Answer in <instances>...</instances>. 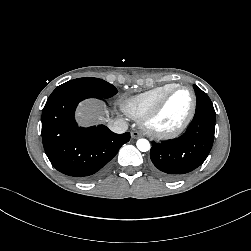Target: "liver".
<instances>
[{"label":"liver","instance_id":"liver-1","mask_svg":"<svg viewBox=\"0 0 251 251\" xmlns=\"http://www.w3.org/2000/svg\"><path fill=\"white\" fill-rule=\"evenodd\" d=\"M76 115L82 125L112 121L102 104L96 100H88L80 104Z\"/></svg>","mask_w":251,"mask_h":251}]
</instances>
